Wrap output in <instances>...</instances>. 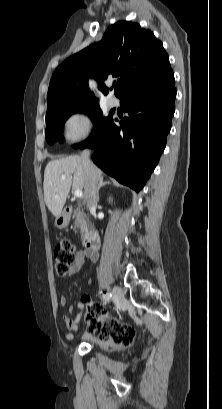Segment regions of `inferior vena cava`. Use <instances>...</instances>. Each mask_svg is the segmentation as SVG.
I'll list each match as a JSON object with an SVG mask.
<instances>
[{
  "mask_svg": "<svg viewBox=\"0 0 222 409\" xmlns=\"http://www.w3.org/2000/svg\"><path fill=\"white\" fill-rule=\"evenodd\" d=\"M80 157L86 173L84 198L90 213H94L97 206V187L100 178L93 163L90 160V150L85 149L81 153Z\"/></svg>",
  "mask_w": 222,
  "mask_h": 409,
  "instance_id": "inferior-vena-cava-1",
  "label": "inferior vena cava"
}]
</instances>
